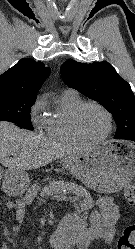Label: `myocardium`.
Listing matches in <instances>:
<instances>
[{
    "mask_svg": "<svg viewBox=\"0 0 135 249\" xmlns=\"http://www.w3.org/2000/svg\"><path fill=\"white\" fill-rule=\"evenodd\" d=\"M87 107H96L99 110H101L103 112V114L106 116L107 121H108V128L106 133L97 139H90L88 137H86L82 131L80 130L79 127V118L83 112L84 109H86ZM71 128L72 131L75 135V137L82 142L83 144H88V145H95V144H99L103 141H105L112 133L113 130V117L112 114L110 113V111L103 106L102 104L95 102V101H88V102H83L82 104H80L73 112L72 116H71Z\"/></svg>",
    "mask_w": 135,
    "mask_h": 249,
    "instance_id": "1",
    "label": "myocardium"
}]
</instances>
